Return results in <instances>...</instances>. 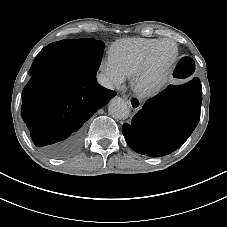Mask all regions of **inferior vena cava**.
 Masks as SVG:
<instances>
[{"mask_svg":"<svg viewBox=\"0 0 227 227\" xmlns=\"http://www.w3.org/2000/svg\"><path fill=\"white\" fill-rule=\"evenodd\" d=\"M97 80L101 86H103L107 89L113 90L114 86H113L112 82L110 81V78L108 76H106L105 74H103V73L98 74Z\"/></svg>","mask_w":227,"mask_h":227,"instance_id":"obj_1","label":"inferior vena cava"}]
</instances>
